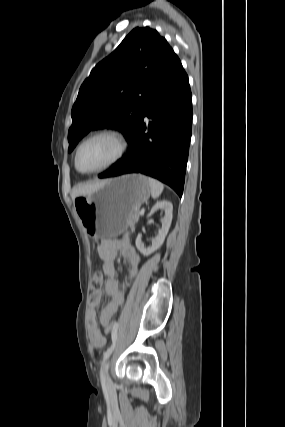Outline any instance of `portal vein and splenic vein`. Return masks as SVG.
<instances>
[{
    "label": "portal vein and splenic vein",
    "mask_w": 285,
    "mask_h": 427,
    "mask_svg": "<svg viewBox=\"0 0 285 427\" xmlns=\"http://www.w3.org/2000/svg\"><path fill=\"white\" fill-rule=\"evenodd\" d=\"M139 214H140V215H143V214H144V210H140V211H139Z\"/></svg>",
    "instance_id": "portal-vein-and-splenic-vein-1"
}]
</instances>
